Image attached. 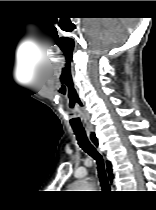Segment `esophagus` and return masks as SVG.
Listing matches in <instances>:
<instances>
[{"mask_svg":"<svg viewBox=\"0 0 156 210\" xmlns=\"http://www.w3.org/2000/svg\"><path fill=\"white\" fill-rule=\"evenodd\" d=\"M88 138L90 142L93 144V146L97 149L99 153L103 156L104 163H105V168H106V173L108 177V182L110 184V187H112L114 183V171H113V163L112 161L108 158L107 153L105 150L102 148L101 143L93 131L87 132Z\"/></svg>","mask_w":156,"mask_h":210,"instance_id":"1","label":"esophagus"}]
</instances>
